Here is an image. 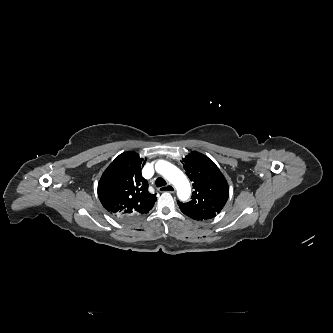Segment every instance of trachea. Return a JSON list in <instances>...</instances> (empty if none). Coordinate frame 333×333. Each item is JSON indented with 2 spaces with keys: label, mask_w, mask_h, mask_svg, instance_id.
I'll return each mask as SVG.
<instances>
[{
  "label": "trachea",
  "mask_w": 333,
  "mask_h": 333,
  "mask_svg": "<svg viewBox=\"0 0 333 333\" xmlns=\"http://www.w3.org/2000/svg\"><path fill=\"white\" fill-rule=\"evenodd\" d=\"M155 184L157 187H162L165 186L167 183L163 178L159 177L156 179Z\"/></svg>",
  "instance_id": "3493384b"
}]
</instances>
